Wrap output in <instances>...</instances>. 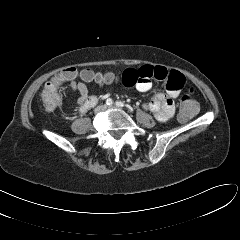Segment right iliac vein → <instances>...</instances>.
I'll use <instances>...</instances> for the list:
<instances>
[{"instance_id": "obj_1", "label": "right iliac vein", "mask_w": 240, "mask_h": 240, "mask_svg": "<svg viewBox=\"0 0 240 240\" xmlns=\"http://www.w3.org/2000/svg\"><path fill=\"white\" fill-rule=\"evenodd\" d=\"M104 107H105V106H99V107H97L96 110H95V113L97 114V113H99L100 111L104 110Z\"/></svg>"}]
</instances>
